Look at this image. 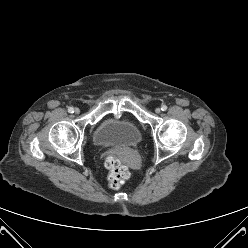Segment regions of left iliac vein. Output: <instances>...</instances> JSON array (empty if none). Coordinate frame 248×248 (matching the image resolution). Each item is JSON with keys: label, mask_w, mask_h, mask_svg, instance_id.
Masks as SVG:
<instances>
[{"label": "left iliac vein", "mask_w": 248, "mask_h": 248, "mask_svg": "<svg viewBox=\"0 0 248 248\" xmlns=\"http://www.w3.org/2000/svg\"><path fill=\"white\" fill-rule=\"evenodd\" d=\"M155 112H156L157 114H159V113L161 112V109H160L159 107H157V108L155 109Z\"/></svg>", "instance_id": "obj_1"}]
</instances>
